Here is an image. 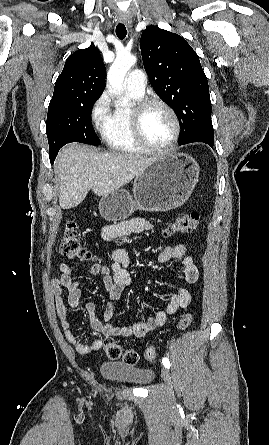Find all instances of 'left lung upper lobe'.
<instances>
[{
	"label": "left lung upper lobe",
	"mask_w": 269,
	"mask_h": 445,
	"mask_svg": "<svg viewBox=\"0 0 269 445\" xmlns=\"http://www.w3.org/2000/svg\"><path fill=\"white\" fill-rule=\"evenodd\" d=\"M140 48L153 89L179 119V144L213 141L208 81L196 52L183 37L156 26L142 32Z\"/></svg>",
	"instance_id": "obj_1"
}]
</instances>
